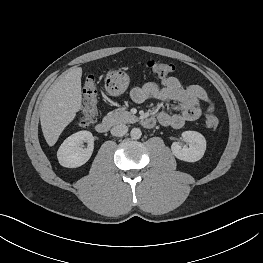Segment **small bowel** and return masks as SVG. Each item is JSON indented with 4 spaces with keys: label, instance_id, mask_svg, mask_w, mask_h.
<instances>
[{
    "label": "small bowel",
    "instance_id": "obj_1",
    "mask_svg": "<svg viewBox=\"0 0 263 263\" xmlns=\"http://www.w3.org/2000/svg\"><path fill=\"white\" fill-rule=\"evenodd\" d=\"M131 98L139 104L151 98L173 102L172 109L176 112L162 110L157 119L161 125L174 129L182 128L187 122L197 120L201 116V102L208 105L207 113L213 114L215 109L207 92L201 86L184 85L176 77H164L159 83L147 82L135 87L131 91Z\"/></svg>",
    "mask_w": 263,
    "mask_h": 263
}]
</instances>
